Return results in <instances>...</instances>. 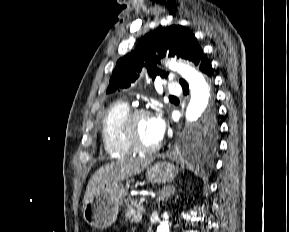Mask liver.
Returning a JSON list of instances; mask_svg holds the SVG:
<instances>
[{
  "instance_id": "obj_1",
  "label": "liver",
  "mask_w": 289,
  "mask_h": 232,
  "mask_svg": "<svg viewBox=\"0 0 289 232\" xmlns=\"http://www.w3.org/2000/svg\"><path fill=\"white\" fill-rule=\"evenodd\" d=\"M151 161L149 159L119 160L99 168L88 182L84 203H88L96 195L109 191L121 181L141 173Z\"/></svg>"
}]
</instances>
